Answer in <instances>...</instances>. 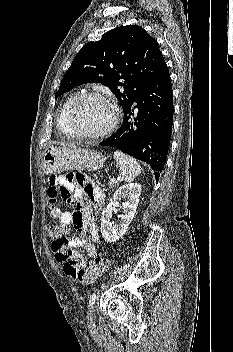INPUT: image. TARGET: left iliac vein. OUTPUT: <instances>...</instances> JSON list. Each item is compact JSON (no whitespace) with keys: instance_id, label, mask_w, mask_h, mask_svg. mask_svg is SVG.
Masks as SVG:
<instances>
[{"instance_id":"4c4485c4","label":"left iliac vein","mask_w":233,"mask_h":352,"mask_svg":"<svg viewBox=\"0 0 233 352\" xmlns=\"http://www.w3.org/2000/svg\"><path fill=\"white\" fill-rule=\"evenodd\" d=\"M93 314H94V305H91L88 312H87V318H88L89 322H92Z\"/></svg>"}]
</instances>
